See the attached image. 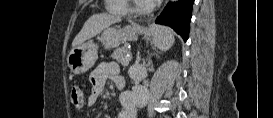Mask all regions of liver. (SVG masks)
Listing matches in <instances>:
<instances>
[{
	"label": "liver",
	"mask_w": 273,
	"mask_h": 118,
	"mask_svg": "<svg viewBox=\"0 0 273 118\" xmlns=\"http://www.w3.org/2000/svg\"><path fill=\"white\" fill-rule=\"evenodd\" d=\"M121 21L120 16H114L107 13L94 14L84 24L81 31L76 35L72 42V47L85 42L86 40L96 36L103 29L111 24Z\"/></svg>",
	"instance_id": "1"
}]
</instances>
